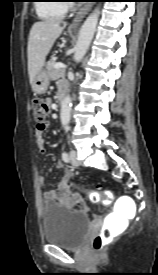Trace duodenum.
Listing matches in <instances>:
<instances>
[{"label": "duodenum", "instance_id": "obj_1", "mask_svg": "<svg viewBox=\"0 0 158 275\" xmlns=\"http://www.w3.org/2000/svg\"><path fill=\"white\" fill-rule=\"evenodd\" d=\"M66 93H67V87H63V88L59 89L58 98H59L60 103H62L64 101Z\"/></svg>", "mask_w": 158, "mask_h": 275}]
</instances>
